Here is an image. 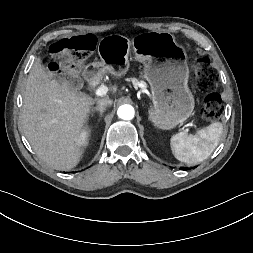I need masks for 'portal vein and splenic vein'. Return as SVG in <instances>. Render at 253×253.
Wrapping results in <instances>:
<instances>
[{
	"label": "portal vein and splenic vein",
	"mask_w": 253,
	"mask_h": 253,
	"mask_svg": "<svg viewBox=\"0 0 253 253\" xmlns=\"http://www.w3.org/2000/svg\"><path fill=\"white\" fill-rule=\"evenodd\" d=\"M107 92H108L107 86L102 85L95 90V95L96 96H104V95H106ZM185 132H188V130H185Z\"/></svg>",
	"instance_id": "1"
}]
</instances>
